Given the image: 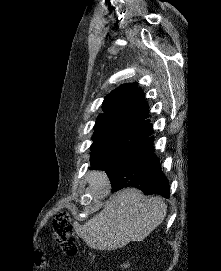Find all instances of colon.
<instances>
[{
	"instance_id": "1",
	"label": "colon",
	"mask_w": 221,
	"mask_h": 271,
	"mask_svg": "<svg viewBox=\"0 0 221 271\" xmlns=\"http://www.w3.org/2000/svg\"><path fill=\"white\" fill-rule=\"evenodd\" d=\"M52 235L65 253L70 256L78 253L79 247L76 232L72 224L71 215L68 212L64 210L55 212L52 218ZM44 257V252L37 254L36 262L42 264Z\"/></svg>"
}]
</instances>
